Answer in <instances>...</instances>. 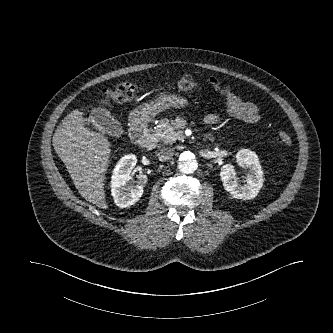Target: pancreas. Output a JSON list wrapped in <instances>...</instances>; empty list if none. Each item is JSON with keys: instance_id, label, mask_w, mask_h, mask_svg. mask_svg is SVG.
<instances>
[{"instance_id": "pancreas-1", "label": "pancreas", "mask_w": 333, "mask_h": 333, "mask_svg": "<svg viewBox=\"0 0 333 333\" xmlns=\"http://www.w3.org/2000/svg\"><path fill=\"white\" fill-rule=\"evenodd\" d=\"M154 135L158 140L171 144L184 138L183 131L173 120L167 118L162 119L160 124L155 127Z\"/></svg>"}]
</instances>
